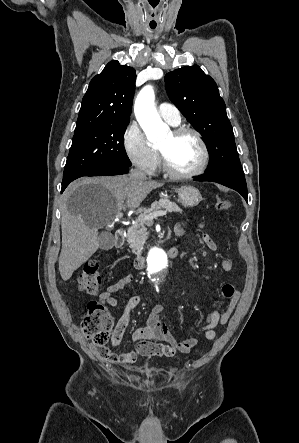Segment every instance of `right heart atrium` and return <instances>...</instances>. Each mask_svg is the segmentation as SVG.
<instances>
[{"label":"right heart atrium","instance_id":"d8ad5b80","mask_svg":"<svg viewBox=\"0 0 299 443\" xmlns=\"http://www.w3.org/2000/svg\"><path fill=\"white\" fill-rule=\"evenodd\" d=\"M122 145L126 156L136 167L146 173L154 171L158 164V154L135 121L125 128Z\"/></svg>","mask_w":299,"mask_h":443}]
</instances>
